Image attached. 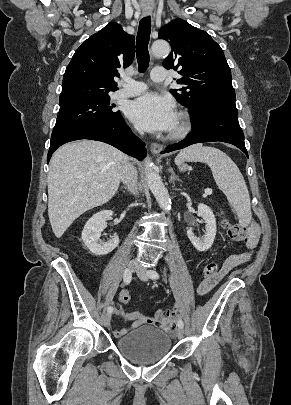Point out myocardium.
I'll return each instance as SVG.
<instances>
[{
  "instance_id": "myocardium-1",
  "label": "myocardium",
  "mask_w": 291,
  "mask_h": 405,
  "mask_svg": "<svg viewBox=\"0 0 291 405\" xmlns=\"http://www.w3.org/2000/svg\"><path fill=\"white\" fill-rule=\"evenodd\" d=\"M192 130V121L188 112L180 110L177 113V126L172 129L169 137L173 140L185 138Z\"/></svg>"
}]
</instances>
